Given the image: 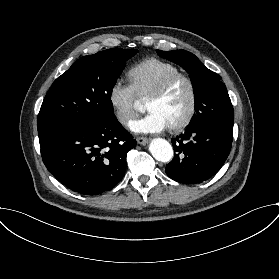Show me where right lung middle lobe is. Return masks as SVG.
Here are the masks:
<instances>
[{
    "mask_svg": "<svg viewBox=\"0 0 279 279\" xmlns=\"http://www.w3.org/2000/svg\"><path fill=\"white\" fill-rule=\"evenodd\" d=\"M137 52L112 48L78 59L47 92L37 119L39 137L49 129L116 120L112 89Z\"/></svg>",
    "mask_w": 279,
    "mask_h": 279,
    "instance_id": "1",
    "label": "right lung middle lobe"
}]
</instances>
